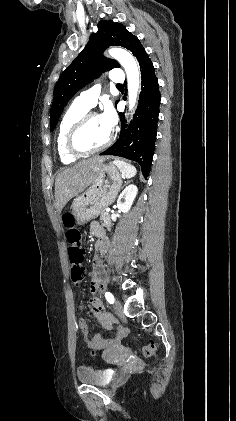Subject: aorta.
<instances>
[{
    "mask_svg": "<svg viewBox=\"0 0 236 421\" xmlns=\"http://www.w3.org/2000/svg\"><path fill=\"white\" fill-rule=\"evenodd\" d=\"M108 52L111 56L119 60L126 72L129 110H131L129 114H132L134 106H136L138 90L140 88V70L137 60H135L130 52L124 50V48H109Z\"/></svg>",
    "mask_w": 236,
    "mask_h": 421,
    "instance_id": "obj_1",
    "label": "aorta"
}]
</instances>
